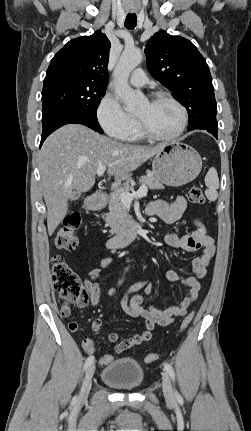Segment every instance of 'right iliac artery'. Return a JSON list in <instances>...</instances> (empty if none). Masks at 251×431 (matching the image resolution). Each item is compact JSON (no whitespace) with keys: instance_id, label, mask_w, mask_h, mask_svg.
I'll return each instance as SVG.
<instances>
[{"instance_id":"right-iliac-artery-1","label":"right iliac artery","mask_w":251,"mask_h":431,"mask_svg":"<svg viewBox=\"0 0 251 431\" xmlns=\"http://www.w3.org/2000/svg\"><path fill=\"white\" fill-rule=\"evenodd\" d=\"M94 362V356H89L84 364V370H86Z\"/></svg>"}]
</instances>
